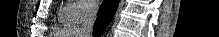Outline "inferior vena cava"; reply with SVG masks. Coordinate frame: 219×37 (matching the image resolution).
<instances>
[{"label": "inferior vena cava", "instance_id": "1", "mask_svg": "<svg viewBox=\"0 0 219 37\" xmlns=\"http://www.w3.org/2000/svg\"><path fill=\"white\" fill-rule=\"evenodd\" d=\"M98 6L87 7L84 15V20L81 28L79 29V36L92 37L93 26L97 17Z\"/></svg>", "mask_w": 219, "mask_h": 37}]
</instances>
